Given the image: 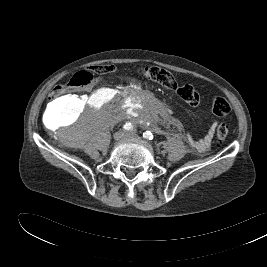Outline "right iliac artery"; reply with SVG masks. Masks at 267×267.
<instances>
[{
    "instance_id": "82829eb1",
    "label": "right iliac artery",
    "mask_w": 267,
    "mask_h": 267,
    "mask_svg": "<svg viewBox=\"0 0 267 267\" xmlns=\"http://www.w3.org/2000/svg\"><path fill=\"white\" fill-rule=\"evenodd\" d=\"M123 128L125 130H133V125L129 122L125 123V125L123 126Z\"/></svg>"
}]
</instances>
